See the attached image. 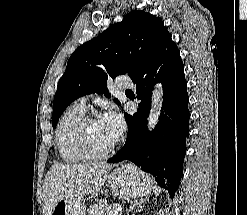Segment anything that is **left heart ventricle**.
Segmentation results:
<instances>
[{
	"mask_svg": "<svg viewBox=\"0 0 247 215\" xmlns=\"http://www.w3.org/2000/svg\"><path fill=\"white\" fill-rule=\"evenodd\" d=\"M88 138L91 146L98 151L109 148L115 142L99 119L89 124Z\"/></svg>",
	"mask_w": 247,
	"mask_h": 215,
	"instance_id": "obj_1",
	"label": "left heart ventricle"
}]
</instances>
